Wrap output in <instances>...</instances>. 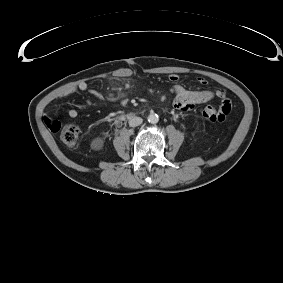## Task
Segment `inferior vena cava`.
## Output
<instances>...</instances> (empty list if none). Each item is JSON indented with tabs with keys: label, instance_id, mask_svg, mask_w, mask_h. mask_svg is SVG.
<instances>
[{
	"label": "inferior vena cava",
	"instance_id": "602c4592",
	"mask_svg": "<svg viewBox=\"0 0 283 283\" xmlns=\"http://www.w3.org/2000/svg\"><path fill=\"white\" fill-rule=\"evenodd\" d=\"M142 122L143 119L141 117L134 116L129 119V126L136 127L142 124Z\"/></svg>",
	"mask_w": 283,
	"mask_h": 283
}]
</instances>
